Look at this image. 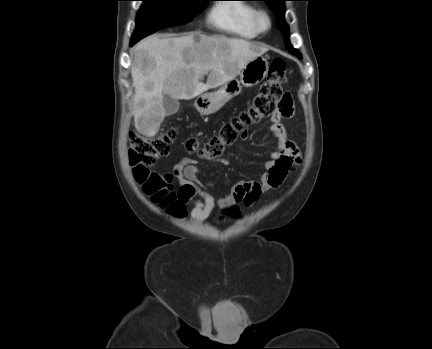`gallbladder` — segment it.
<instances>
[{"mask_svg": "<svg viewBox=\"0 0 432 349\" xmlns=\"http://www.w3.org/2000/svg\"><path fill=\"white\" fill-rule=\"evenodd\" d=\"M180 103L178 99H174L169 95H164L163 97V107L165 111V116H171L179 110Z\"/></svg>", "mask_w": 432, "mask_h": 349, "instance_id": "bac80fb5", "label": "gallbladder"}]
</instances>
